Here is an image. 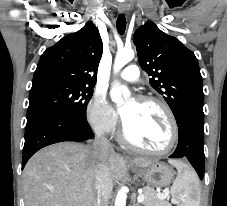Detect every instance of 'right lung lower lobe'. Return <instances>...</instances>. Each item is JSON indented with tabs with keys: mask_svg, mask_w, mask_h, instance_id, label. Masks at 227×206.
<instances>
[{
	"mask_svg": "<svg viewBox=\"0 0 227 206\" xmlns=\"http://www.w3.org/2000/svg\"><path fill=\"white\" fill-rule=\"evenodd\" d=\"M94 137L85 117L42 111L27 117L22 169L41 148L63 141L85 142Z\"/></svg>",
	"mask_w": 227,
	"mask_h": 206,
	"instance_id": "obj_1",
	"label": "right lung lower lobe"
}]
</instances>
